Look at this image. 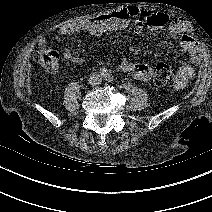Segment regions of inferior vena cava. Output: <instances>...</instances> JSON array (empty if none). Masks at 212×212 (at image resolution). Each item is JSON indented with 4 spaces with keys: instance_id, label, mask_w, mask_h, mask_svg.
<instances>
[{
    "instance_id": "1",
    "label": "inferior vena cava",
    "mask_w": 212,
    "mask_h": 212,
    "mask_svg": "<svg viewBox=\"0 0 212 212\" xmlns=\"http://www.w3.org/2000/svg\"><path fill=\"white\" fill-rule=\"evenodd\" d=\"M101 81H102L101 77L96 74H92L89 79V83L93 86L99 85Z\"/></svg>"
}]
</instances>
